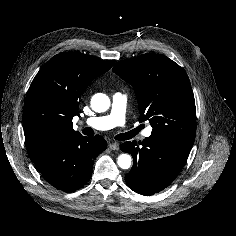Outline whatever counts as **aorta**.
Segmentation results:
<instances>
[{
    "mask_svg": "<svg viewBox=\"0 0 236 236\" xmlns=\"http://www.w3.org/2000/svg\"><path fill=\"white\" fill-rule=\"evenodd\" d=\"M110 106V99L106 95H102L97 100L91 101V107L95 112H105ZM132 159L128 154H121L117 163L118 166L122 169H128L131 166Z\"/></svg>",
    "mask_w": 236,
    "mask_h": 236,
    "instance_id": "obj_1",
    "label": "aorta"
}]
</instances>
